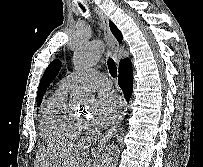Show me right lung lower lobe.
Masks as SVG:
<instances>
[{
    "instance_id": "1",
    "label": "right lung lower lobe",
    "mask_w": 203,
    "mask_h": 167,
    "mask_svg": "<svg viewBox=\"0 0 203 167\" xmlns=\"http://www.w3.org/2000/svg\"><path fill=\"white\" fill-rule=\"evenodd\" d=\"M133 75H132V65L130 59H126L120 62L119 65V77L118 84L123 90L124 97L128 101L131 97L133 90Z\"/></svg>"
}]
</instances>
